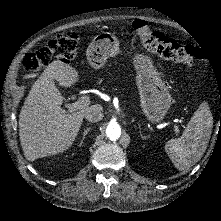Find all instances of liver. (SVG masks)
<instances>
[{
  "label": "liver",
  "instance_id": "liver-1",
  "mask_svg": "<svg viewBox=\"0 0 221 221\" xmlns=\"http://www.w3.org/2000/svg\"><path fill=\"white\" fill-rule=\"evenodd\" d=\"M78 80V71L56 60L33 84L19 114V137L27 160L34 161L67 150L78 135L84 115L94 109H103L100 104L72 113L61 108L64 97L55 81L71 87Z\"/></svg>",
  "mask_w": 221,
  "mask_h": 221
}]
</instances>
